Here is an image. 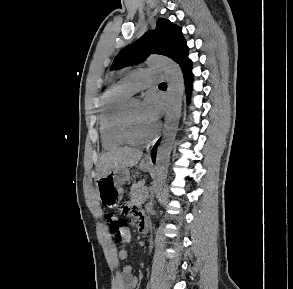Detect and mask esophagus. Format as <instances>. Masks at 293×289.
Listing matches in <instances>:
<instances>
[{
	"label": "esophagus",
	"instance_id": "esophagus-1",
	"mask_svg": "<svg viewBox=\"0 0 293 289\" xmlns=\"http://www.w3.org/2000/svg\"><path fill=\"white\" fill-rule=\"evenodd\" d=\"M154 144H155V143H152V144H150V145L147 147V154L145 155V157H144V159H143L144 161H147V162H150V161H151L150 152H151V150H152Z\"/></svg>",
	"mask_w": 293,
	"mask_h": 289
}]
</instances>
